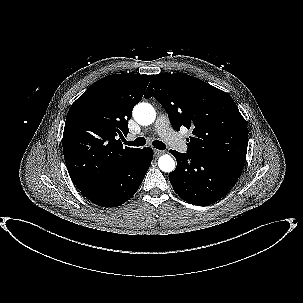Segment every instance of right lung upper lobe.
I'll return each mask as SVG.
<instances>
[{
  "label": "right lung upper lobe",
  "instance_id": "right-lung-upper-lobe-1",
  "mask_svg": "<svg viewBox=\"0 0 303 303\" xmlns=\"http://www.w3.org/2000/svg\"><path fill=\"white\" fill-rule=\"evenodd\" d=\"M153 75L114 74L84 92L70 107L63 133L68 173L82 191L106 179L139 153L123 147L128 120Z\"/></svg>",
  "mask_w": 303,
  "mask_h": 303
}]
</instances>
